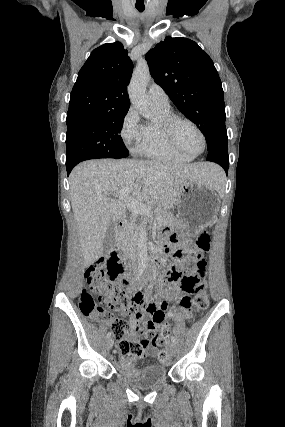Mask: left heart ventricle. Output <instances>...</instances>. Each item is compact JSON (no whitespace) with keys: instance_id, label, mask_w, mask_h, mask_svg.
<instances>
[{"instance_id":"b2bd125f","label":"left heart ventricle","mask_w":285,"mask_h":427,"mask_svg":"<svg viewBox=\"0 0 285 427\" xmlns=\"http://www.w3.org/2000/svg\"><path fill=\"white\" fill-rule=\"evenodd\" d=\"M175 136L179 145L190 154H196L202 148V140L198 132L189 124H178L175 129Z\"/></svg>"}]
</instances>
